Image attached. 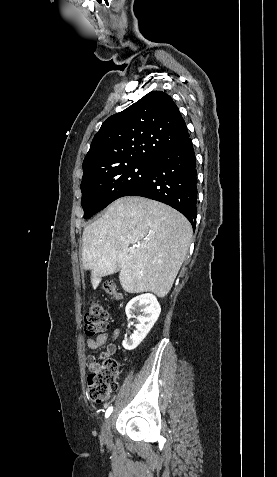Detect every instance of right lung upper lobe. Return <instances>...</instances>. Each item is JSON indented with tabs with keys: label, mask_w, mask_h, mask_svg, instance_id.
<instances>
[{
	"label": "right lung upper lobe",
	"mask_w": 277,
	"mask_h": 477,
	"mask_svg": "<svg viewBox=\"0 0 277 477\" xmlns=\"http://www.w3.org/2000/svg\"><path fill=\"white\" fill-rule=\"evenodd\" d=\"M188 138L186 123L172 98L152 91L102 124L83 161V171L154 162Z\"/></svg>",
	"instance_id": "obj_1"
}]
</instances>
